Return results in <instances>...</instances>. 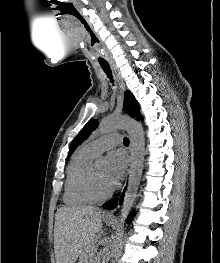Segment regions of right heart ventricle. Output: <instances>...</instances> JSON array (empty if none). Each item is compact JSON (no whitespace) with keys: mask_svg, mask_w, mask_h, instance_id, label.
Segmentation results:
<instances>
[{"mask_svg":"<svg viewBox=\"0 0 220 263\" xmlns=\"http://www.w3.org/2000/svg\"><path fill=\"white\" fill-rule=\"evenodd\" d=\"M95 157L86 146L78 149L72 156L66 172L63 200L65 204L78 206L94 201L84 188V179L89 166Z\"/></svg>","mask_w":220,"mask_h":263,"instance_id":"right-heart-ventricle-1","label":"right heart ventricle"}]
</instances>
